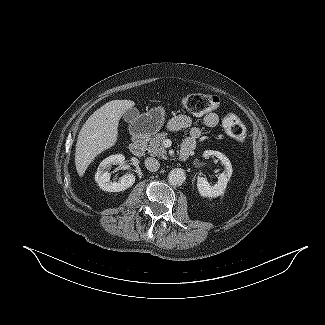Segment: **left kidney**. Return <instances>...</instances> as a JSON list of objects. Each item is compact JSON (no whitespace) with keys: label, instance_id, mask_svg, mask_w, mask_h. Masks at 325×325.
Here are the masks:
<instances>
[{"label":"left kidney","instance_id":"1","mask_svg":"<svg viewBox=\"0 0 325 325\" xmlns=\"http://www.w3.org/2000/svg\"><path fill=\"white\" fill-rule=\"evenodd\" d=\"M204 157L213 156L218 158L224 165V171L219 175L218 182L211 185L205 178L198 176L197 188L202 197L216 198L225 193L227 183L230 180L233 169L230 160L221 152L207 150L204 152Z\"/></svg>","mask_w":325,"mask_h":325}]
</instances>
